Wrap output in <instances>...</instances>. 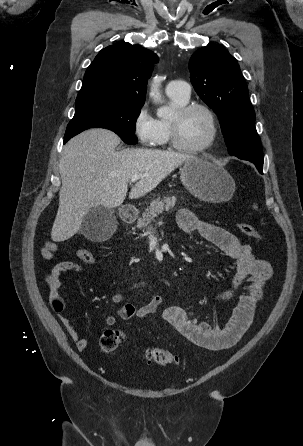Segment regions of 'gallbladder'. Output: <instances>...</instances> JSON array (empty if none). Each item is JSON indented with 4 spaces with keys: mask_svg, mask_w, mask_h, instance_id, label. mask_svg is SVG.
Here are the masks:
<instances>
[{
    "mask_svg": "<svg viewBox=\"0 0 303 446\" xmlns=\"http://www.w3.org/2000/svg\"><path fill=\"white\" fill-rule=\"evenodd\" d=\"M116 217L113 210L98 206L92 208L84 217L80 232L91 241L107 239L116 229Z\"/></svg>",
    "mask_w": 303,
    "mask_h": 446,
    "instance_id": "obj_1",
    "label": "gallbladder"
}]
</instances>
